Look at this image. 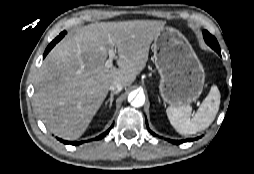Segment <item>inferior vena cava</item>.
Masks as SVG:
<instances>
[{"mask_svg": "<svg viewBox=\"0 0 254 174\" xmlns=\"http://www.w3.org/2000/svg\"><path fill=\"white\" fill-rule=\"evenodd\" d=\"M123 88V85L120 82H113L110 86H109V90L111 92H120Z\"/></svg>", "mask_w": 254, "mask_h": 174, "instance_id": "602c4592", "label": "inferior vena cava"}]
</instances>
